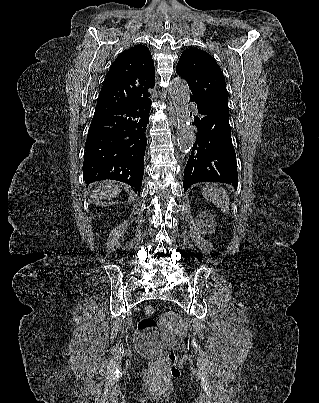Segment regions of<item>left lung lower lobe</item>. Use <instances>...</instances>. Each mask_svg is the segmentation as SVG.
Instances as JSON below:
<instances>
[{
  "mask_svg": "<svg viewBox=\"0 0 319 403\" xmlns=\"http://www.w3.org/2000/svg\"><path fill=\"white\" fill-rule=\"evenodd\" d=\"M197 104L196 142L184 169L186 191L197 182H222L237 188L236 154L231 139L228 99L209 94L192 93Z\"/></svg>",
  "mask_w": 319,
  "mask_h": 403,
  "instance_id": "obj_1",
  "label": "left lung lower lobe"
}]
</instances>
